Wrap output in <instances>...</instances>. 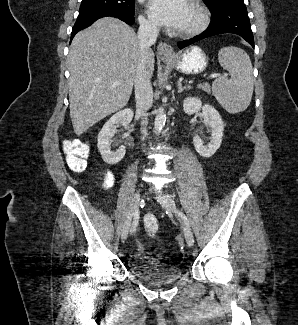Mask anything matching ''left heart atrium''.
Returning a JSON list of instances; mask_svg holds the SVG:
<instances>
[{"label": "left heart atrium", "mask_w": 298, "mask_h": 325, "mask_svg": "<svg viewBox=\"0 0 298 325\" xmlns=\"http://www.w3.org/2000/svg\"><path fill=\"white\" fill-rule=\"evenodd\" d=\"M184 11L182 0H150L149 16L158 26L175 29L180 26Z\"/></svg>", "instance_id": "obj_1"}]
</instances>
